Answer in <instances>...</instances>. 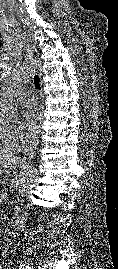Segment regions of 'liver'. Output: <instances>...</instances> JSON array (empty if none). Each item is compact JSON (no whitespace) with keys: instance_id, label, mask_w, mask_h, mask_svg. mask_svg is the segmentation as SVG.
Masks as SVG:
<instances>
[{"instance_id":"6515ba94","label":"liver","mask_w":118,"mask_h":269,"mask_svg":"<svg viewBox=\"0 0 118 269\" xmlns=\"http://www.w3.org/2000/svg\"><path fill=\"white\" fill-rule=\"evenodd\" d=\"M18 164L19 158L17 156H13L7 153L0 155V168L11 170L13 168H16Z\"/></svg>"}]
</instances>
